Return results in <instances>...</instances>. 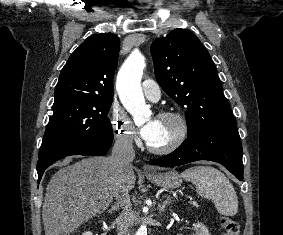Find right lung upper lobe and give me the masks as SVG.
I'll list each match as a JSON object with an SVG mask.
<instances>
[{
  "label": "right lung upper lobe",
  "mask_w": 283,
  "mask_h": 235,
  "mask_svg": "<svg viewBox=\"0 0 283 235\" xmlns=\"http://www.w3.org/2000/svg\"><path fill=\"white\" fill-rule=\"evenodd\" d=\"M120 40L112 33L88 37L69 57L55 87V101L72 97H113Z\"/></svg>",
  "instance_id": "right-lung-upper-lobe-1"
}]
</instances>
